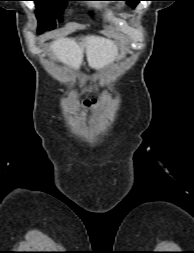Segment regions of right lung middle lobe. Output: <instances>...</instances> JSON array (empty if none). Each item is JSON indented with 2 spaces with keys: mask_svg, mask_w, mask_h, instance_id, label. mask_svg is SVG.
<instances>
[{
  "mask_svg": "<svg viewBox=\"0 0 194 253\" xmlns=\"http://www.w3.org/2000/svg\"><path fill=\"white\" fill-rule=\"evenodd\" d=\"M36 4L38 33L55 28L56 17L62 22V12L70 0H30Z\"/></svg>",
  "mask_w": 194,
  "mask_h": 253,
  "instance_id": "1",
  "label": "right lung middle lobe"
}]
</instances>
